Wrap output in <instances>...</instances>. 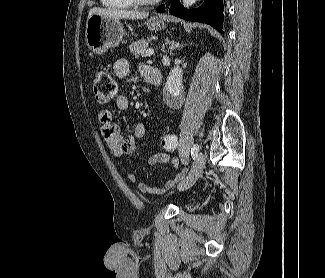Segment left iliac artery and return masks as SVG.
<instances>
[{"mask_svg": "<svg viewBox=\"0 0 325 278\" xmlns=\"http://www.w3.org/2000/svg\"><path fill=\"white\" fill-rule=\"evenodd\" d=\"M198 151H199V146L197 144H194L193 147L191 148V155L192 156L197 155Z\"/></svg>", "mask_w": 325, "mask_h": 278, "instance_id": "left-iliac-artery-1", "label": "left iliac artery"}]
</instances>
